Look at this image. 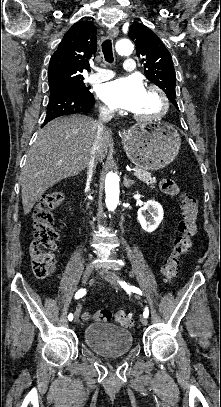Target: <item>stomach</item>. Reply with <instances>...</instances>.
<instances>
[{"mask_svg": "<svg viewBox=\"0 0 221 407\" xmlns=\"http://www.w3.org/2000/svg\"><path fill=\"white\" fill-rule=\"evenodd\" d=\"M122 143L132 163L143 170L156 171L174 160L181 138L167 123L135 124L122 134Z\"/></svg>", "mask_w": 221, "mask_h": 407, "instance_id": "1", "label": "stomach"}]
</instances>
